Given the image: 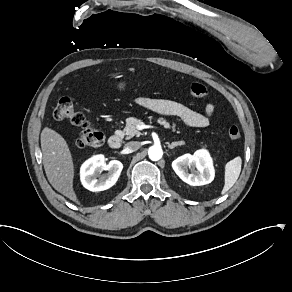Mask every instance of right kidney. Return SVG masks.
I'll use <instances>...</instances> for the list:
<instances>
[{"mask_svg":"<svg viewBox=\"0 0 292 292\" xmlns=\"http://www.w3.org/2000/svg\"><path fill=\"white\" fill-rule=\"evenodd\" d=\"M122 169L123 164L120 161L112 160L106 165L104 155H95L81 165V183L86 189L93 192L109 189L117 182ZM103 170H108V174L97 179Z\"/></svg>","mask_w":292,"mask_h":292,"instance_id":"obj_1","label":"right kidney"}]
</instances>
